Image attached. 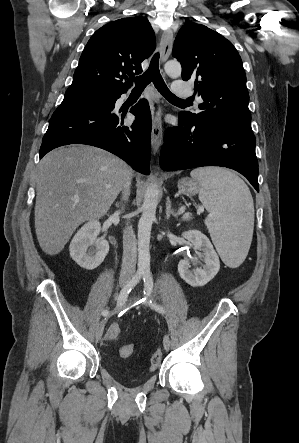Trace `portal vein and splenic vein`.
Instances as JSON below:
<instances>
[{"label":"portal vein and splenic vein","mask_w":299,"mask_h":443,"mask_svg":"<svg viewBox=\"0 0 299 443\" xmlns=\"http://www.w3.org/2000/svg\"><path fill=\"white\" fill-rule=\"evenodd\" d=\"M203 211V208H201L200 210H199V212H202ZM190 218V213H186V214H184V216L182 217V219L183 220H188Z\"/></svg>","instance_id":"1"}]
</instances>
